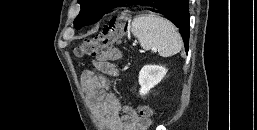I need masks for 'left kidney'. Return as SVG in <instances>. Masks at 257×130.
Wrapping results in <instances>:
<instances>
[{
	"label": "left kidney",
	"mask_w": 257,
	"mask_h": 130,
	"mask_svg": "<svg viewBox=\"0 0 257 130\" xmlns=\"http://www.w3.org/2000/svg\"><path fill=\"white\" fill-rule=\"evenodd\" d=\"M167 69L159 65H145L139 72L140 95L147 94L151 88L160 83Z\"/></svg>",
	"instance_id": "left-kidney-1"
}]
</instances>
